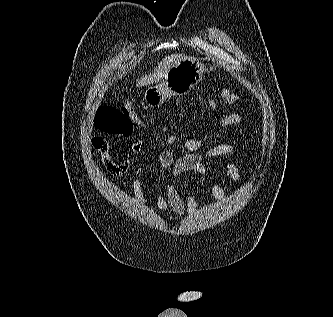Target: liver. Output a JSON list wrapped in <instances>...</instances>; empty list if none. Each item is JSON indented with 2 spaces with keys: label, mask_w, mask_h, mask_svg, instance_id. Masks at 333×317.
I'll use <instances>...</instances> for the list:
<instances>
[{
  "label": "liver",
  "mask_w": 333,
  "mask_h": 317,
  "mask_svg": "<svg viewBox=\"0 0 333 317\" xmlns=\"http://www.w3.org/2000/svg\"><path fill=\"white\" fill-rule=\"evenodd\" d=\"M187 59V56L182 54H171L170 56L165 57L159 64L155 73L151 76L143 78L138 85H144L147 83H153L159 81L162 78H165L169 70L178 64L179 62Z\"/></svg>",
  "instance_id": "1"
}]
</instances>
